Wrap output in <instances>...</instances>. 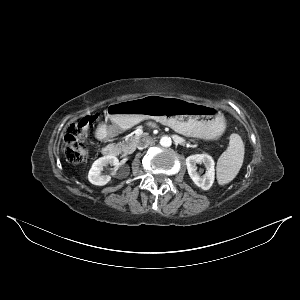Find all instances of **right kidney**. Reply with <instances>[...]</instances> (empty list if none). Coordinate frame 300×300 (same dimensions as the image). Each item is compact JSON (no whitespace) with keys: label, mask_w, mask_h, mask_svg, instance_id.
Returning a JSON list of instances; mask_svg holds the SVG:
<instances>
[{"label":"right kidney","mask_w":300,"mask_h":300,"mask_svg":"<svg viewBox=\"0 0 300 300\" xmlns=\"http://www.w3.org/2000/svg\"><path fill=\"white\" fill-rule=\"evenodd\" d=\"M109 164L115 166L112 173L114 175L119 166V160L116 156L106 155L95 160L88 173L89 182L98 186L106 185L111 180V176L102 175L101 172Z\"/></svg>","instance_id":"obj_1"}]
</instances>
